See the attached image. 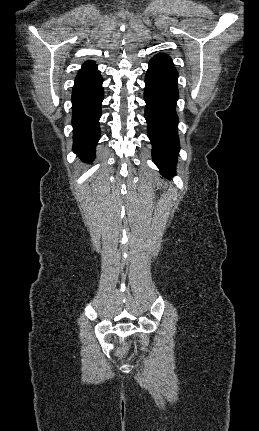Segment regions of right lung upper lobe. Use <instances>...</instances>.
Masks as SVG:
<instances>
[{"label": "right lung upper lobe", "mask_w": 259, "mask_h": 431, "mask_svg": "<svg viewBox=\"0 0 259 431\" xmlns=\"http://www.w3.org/2000/svg\"><path fill=\"white\" fill-rule=\"evenodd\" d=\"M92 64H94V62H93V61H87V62H85V63H84V65H83V66H86V65H92Z\"/></svg>", "instance_id": "right-lung-upper-lobe-1"}]
</instances>
